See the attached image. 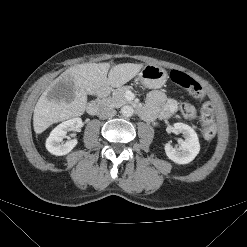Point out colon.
Segmentation results:
<instances>
[{
	"label": "colon",
	"instance_id": "colon-1",
	"mask_svg": "<svg viewBox=\"0 0 247 247\" xmlns=\"http://www.w3.org/2000/svg\"><path fill=\"white\" fill-rule=\"evenodd\" d=\"M171 80L184 88L194 99L201 100L204 92L201 85L187 74L172 70L170 72ZM181 114L188 120H193L197 116L196 108L188 103H184L180 108ZM202 134L205 139L211 140L216 135V126L214 122V108L212 104L205 103L201 110Z\"/></svg>",
	"mask_w": 247,
	"mask_h": 247
}]
</instances>
